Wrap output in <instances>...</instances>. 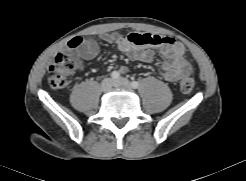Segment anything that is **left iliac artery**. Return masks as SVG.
<instances>
[{"label": "left iliac artery", "mask_w": 246, "mask_h": 181, "mask_svg": "<svg viewBox=\"0 0 246 181\" xmlns=\"http://www.w3.org/2000/svg\"><path fill=\"white\" fill-rule=\"evenodd\" d=\"M131 86H132V88L137 89V88H139L140 84L137 81H132Z\"/></svg>", "instance_id": "44dca946"}]
</instances>
